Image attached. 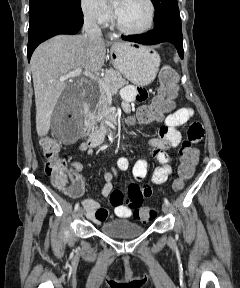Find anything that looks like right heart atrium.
Wrapping results in <instances>:
<instances>
[{
    "label": "right heart atrium",
    "mask_w": 240,
    "mask_h": 288,
    "mask_svg": "<svg viewBox=\"0 0 240 288\" xmlns=\"http://www.w3.org/2000/svg\"><path fill=\"white\" fill-rule=\"evenodd\" d=\"M80 4L84 16L89 20L104 24L112 17L104 0H80Z\"/></svg>",
    "instance_id": "obj_1"
}]
</instances>
